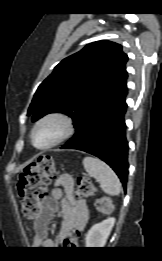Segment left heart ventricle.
<instances>
[{"label":"left heart ventricle","instance_id":"b2bd125f","mask_svg":"<svg viewBox=\"0 0 162 261\" xmlns=\"http://www.w3.org/2000/svg\"><path fill=\"white\" fill-rule=\"evenodd\" d=\"M59 132V126L50 122L41 126L35 133L34 141L37 146H43L50 142Z\"/></svg>","mask_w":162,"mask_h":261}]
</instances>
